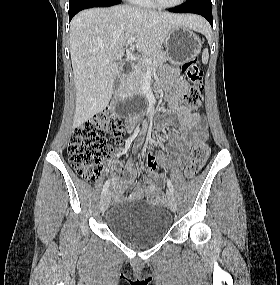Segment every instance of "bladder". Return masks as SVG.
Returning a JSON list of instances; mask_svg holds the SVG:
<instances>
[{
    "label": "bladder",
    "instance_id": "bladder-1",
    "mask_svg": "<svg viewBox=\"0 0 280 285\" xmlns=\"http://www.w3.org/2000/svg\"><path fill=\"white\" fill-rule=\"evenodd\" d=\"M172 218L165 208L144 200H123L107 212L110 231L133 245L155 242L166 235Z\"/></svg>",
    "mask_w": 280,
    "mask_h": 285
}]
</instances>
